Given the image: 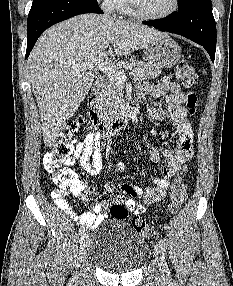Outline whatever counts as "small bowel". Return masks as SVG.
I'll return each instance as SVG.
<instances>
[{
	"instance_id": "small-bowel-1",
	"label": "small bowel",
	"mask_w": 233,
	"mask_h": 286,
	"mask_svg": "<svg viewBox=\"0 0 233 286\" xmlns=\"http://www.w3.org/2000/svg\"><path fill=\"white\" fill-rule=\"evenodd\" d=\"M137 95L138 97H145L146 95L154 98L164 97V106L161 108L148 107L147 116L155 121L168 120L175 143L174 150L166 147L156 149L149 145L146 147L150 163L160 166L161 176L151 175L155 187L143 189L126 182L117 185L122 193L117 199L118 202L125 204L130 211L140 213L144 207L137 200L149 203L163 199L170 187L171 179L179 172L181 165L191 158L193 132L187 121L186 96L177 83L169 78H163L156 85L141 83L137 86ZM101 144V133H89L83 141L77 143L73 156L66 162V165L70 166L79 161L81 167L88 174H98L103 165ZM124 168L125 164L119 163L117 171H123ZM72 192L81 196L84 202L92 208V211L83 213L78 218L73 213L70 203L65 199L66 191L61 189L52 192V199L62 211L80 224L96 228L105 220L106 215L103 210L106 206V199L104 197L94 199L83 186L80 190H72Z\"/></svg>"
}]
</instances>
